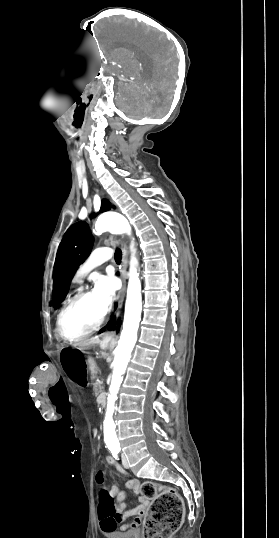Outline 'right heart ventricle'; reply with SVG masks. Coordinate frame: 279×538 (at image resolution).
<instances>
[{
    "label": "right heart ventricle",
    "instance_id": "obj_1",
    "mask_svg": "<svg viewBox=\"0 0 279 538\" xmlns=\"http://www.w3.org/2000/svg\"><path fill=\"white\" fill-rule=\"evenodd\" d=\"M100 221V218L95 214L94 217H93V220H92V224H91V228H92V231L93 233H95V230H96V227H97V224L99 223ZM69 301V300H67Z\"/></svg>",
    "mask_w": 279,
    "mask_h": 538
}]
</instances>
